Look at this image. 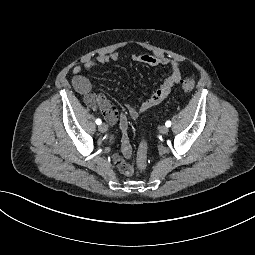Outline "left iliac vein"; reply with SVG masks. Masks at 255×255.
Here are the masks:
<instances>
[{
  "label": "left iliac vein",
  "mask_w": 255,
  "mask_h": 255,
  "mask_svg": "<svg viewBox=\"0 0 255 255\" xmlns=\"http://www.w3.org/2000/svg\"><path fill=\"white\" fill-rule=\"evenodd\" d=\"M159 132L161 134H167L169 132V128L165 125H162V126L159 127Z\"/></svg>",
  "instance_id": "1"
}]
</instances>
